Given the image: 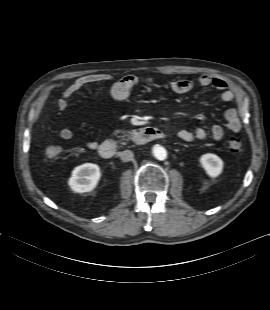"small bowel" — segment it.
<instances>
[{
  "label": "small bowel",
  "mask_w": 270,
  "mask_h": 310,
  "mask_svg": "<svg viewBox=\"0 0 270 310\" xmlns=\"http://www.w3.org/2000/svg\"><path fill=\"white\" fill-rule=\"evenodd\" d=\"M112 76L105 73H94L81 76L73 81L63 92L61 98L58 99L56 106L58 110L63 111L68 107L70 99L75 93L82 88L96 83L109 81ZM138 78L133 75H127L116 81L111 87V97L116 102L125 101L132 88L137 84ZM197 84L202 87L213 86L215 89L221 92L220 99L223 102L232 101L236 93L230 89L228 84L221 78L213 77L208 74L201 75L197 79ZM195 86L194 81L189 79H180L173 81L170 85L171 90L176 94H185L190 92ZM224 117L226 120L227 128L232 132H239L242 128V123L238 115V111L235 108H228ZM210 134L213 139L221 140L224 136V127L221 124H214L211 127ZM60 136L64 140H71L73 138V131L70 128H62L60 130ZM178 137L186 142L194 140H205L208 137V132L203 128H195L193 130H181L178 133ZM84 145L88 149H95L97 142L93 140H86Z\"/></svg>",
  "instance_id": "small-bowel-1"
}]
</instances>
